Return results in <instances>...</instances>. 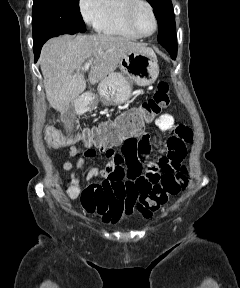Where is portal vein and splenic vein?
Wrapping results in <instances>:
<instances>
[{"label": "portal vein and splenic vein", "mask_w": 240, "mask_h": 288, "mask_svg": "<svg viewBox=\"0 0 240 288\" xmlns=\"http://www.w3.org/2000/svg\"><path fill=\"white\" fill-rule=\"evenodd\" d=\"M92 65V61L89 60L88 62L85 63L84 67H83V71H87Z\"/></svg>", "instance_id": "portal-vein-and-splenic-vein-1"}]
</instances>
